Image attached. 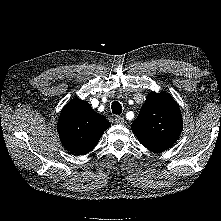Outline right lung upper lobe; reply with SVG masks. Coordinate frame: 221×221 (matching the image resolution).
Wrapping results in <instances>:
<instances>
[{
    "instance_id": "right-lung-upper-lobe-1",
    "label": "right lung upper lobe",
    "mask_w": 221,
    "mask_h": 221,
    "mask_svg": "<svg viewBox=\"0 0 221 221\" xmlns=\"http://www.w3.org/2000/svg\"><path fill=\"white\" fill-rule=\"evenodd\" d=\"M110 126L86 101L74 98L62 109L57 129L62 145L74 154L83 155L98 143Z\"/></svg>"
}]
</instances>
